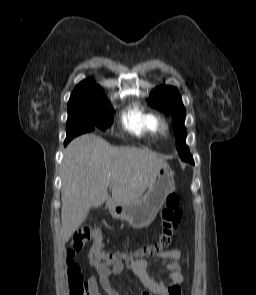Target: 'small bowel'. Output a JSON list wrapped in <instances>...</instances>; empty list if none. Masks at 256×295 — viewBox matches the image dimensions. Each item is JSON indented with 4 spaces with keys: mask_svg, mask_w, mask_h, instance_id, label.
<instances>
[{
    "mask_svg": "<svg viewBox=\"0 0 256 295\" xmlns=\"http://www.w3.org/2000/svg\"><path fill=\"white\" fill-rule=\"evenodd\" d=\"M169 260L165 268L169 273L170 283L167 285L163 281L154 277L149 269L148 261L145 259H134L127 253L123 254V260L115 262L111 267L97 268L98 282L105 295H120L110 284L109 277L122 273L125 267L129 268L141 281L145 288L142 295H181V284L184 281L181 272L180 260L182 252L179 249L166 251L160 256ZM95 276L88 279V287L92 295H101Z\"/></svg>",
    "mask_w": 256,
    "mask_h": 295,
    "instance_id": "small-bowel-1",
    "label": "small bowel"
}]
</instances>
